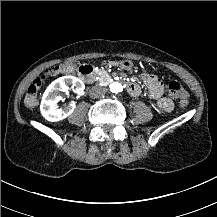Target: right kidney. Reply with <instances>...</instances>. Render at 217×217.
Wrapping results in <instances>:
<instances>
[{
    "label": "right kidney",
    "mask_w": 217,
    "mask_h": 217,
    "mask_svg": "<svg viewBox=\"0 0 217 217\" xmlns=\"http://www.w3.org/2000/svg\"><path fill=\"white\" fill-rule=\"evenodd\" d=\"M71 89L75 90L76 93L80 94L85 89L84 83L77 77L74 76H63L53 81L48 88L45 90L40 110L41 114L46 120L55 122L66 118L75 109V103L71 102L63 107L59 108L57 103L62 100L60 92H67Z\"/></svg>",
    "instance_id": "right-kidney-1"
}]
</instances>
